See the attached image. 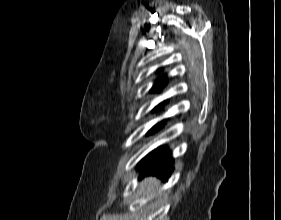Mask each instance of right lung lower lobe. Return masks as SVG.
Instances as JSON below:
<instances>
[{"label": "right lung lower lobe", "mask_w": 281, "mask_h": 220, "mask_svg": "<svg viewBox=\"0 0 281 220\" xmlns=\"http://www.w3.org/2000/svg\"><path fill=\"white\" fill-rule=\"evenodd\" d=\"M140 176L156 175L163 180L173 171V158L167 148L160 147L147 155L138 165Z\"/></svg>", "instance_id": "1"}]
</instances>
